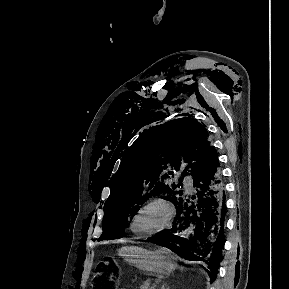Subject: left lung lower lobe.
Wrapping results in <instances>:
<instances>
[{"label": "left lung lower lobe", "instance_id": "1", "mask_svg": "<svg viewBox=\"0 0 289 289\" xmlns=\"http://www.w3.org/2000/svg\"><path fill=\"white\" fill-rule=\"evenodd\" d=\"M193 191L174 202L176 218L171 229L150 238L187 260L207 264L213 281L217 276L224 247L225 189L217 152L193 177Z\"/></svg>", "mask_w": 289, "mask_h": 289}]
</instances>
